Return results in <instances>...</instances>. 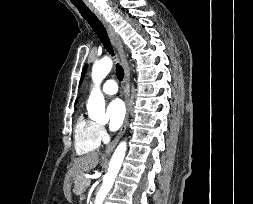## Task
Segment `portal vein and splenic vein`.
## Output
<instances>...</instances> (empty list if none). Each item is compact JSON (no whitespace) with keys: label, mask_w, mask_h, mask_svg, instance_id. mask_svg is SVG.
<instances>
[{"label":"portal vein and splenic vein","mask_w":253,"mask_h":204,"mask_svg":"<svg viewBox=\"0 0 253 204\" xmlns=\"http://www.w3.org/2000/svg\"><path fill=\"white\" fill-rule=\"evenodd\" d=\"M91 184V180L90 179H87L86 181V186H89Z\"/></svg>","instance_id":"1"}]
</instances>
